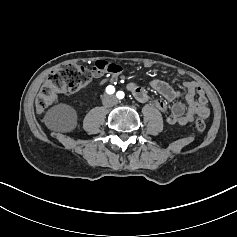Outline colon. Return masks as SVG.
<instances>
[{
	"instance_id": "colon-1",
	"label": "colon",
	"mask_w": 237,
	"mask_h": 237,
	"mask_svg": "<svg viewBox=\"0 0 237 237\" xmlns=\"http://www.w3.org/2000/svg\"><path fill=\"white\" fill-rule=\"evenodd\" d=\"M122 67L118 64L98 60L93 69H88L78 64H62L54 68L42 85L36 98V109L45 111L58 100L63 92H76L85 87L95 75L106 74L110 77H118L122 73ZM196 129L203 132L206 129L205 121L198 118Z\"/></svg>"
}]
</instances>
